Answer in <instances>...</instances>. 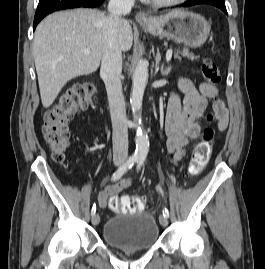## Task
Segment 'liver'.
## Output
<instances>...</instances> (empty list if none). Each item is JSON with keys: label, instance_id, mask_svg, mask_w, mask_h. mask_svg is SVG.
Returning <instances> with one entry per match:
<instances>
[{"label": "liver", "instance_id": "6515ba94", "mask_svg": "<svg viewBox=\"0 0 265 269\" xmlns=\"http://www.w3.org/2000/svg\"><path fill=\"white\" fill-rule=\"evenodd\" d=\"M105 19L101 11L81 8L52 13L39 23L33 53L43 107L53 104L68 81L98 69ZM118 41L121 51L131 49L133 33L126 19L119 20Z\"/></svg>", "mask_w": 265, "mask_h": 269}]
</instances>
